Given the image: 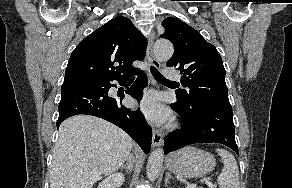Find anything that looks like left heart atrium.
<instances>
[{
    "instance_id": "obj_1",
    "label": "left heart atrium",
    "mask_w": 292,
    "mask_h": 188,
    "mask_svg": "<svg viewBox=\"0 0 292 188\" xmlns=\"http://www.w3.org/2000/svg\"><path fill=\"white\" fill-rule=\"evenodd\" d=\"M146 117L153 123H162L169 117V112L159 103L156 94H148L140 105Z\"/></svg>"
}]
</instances>
